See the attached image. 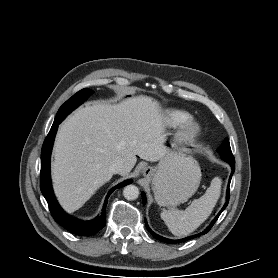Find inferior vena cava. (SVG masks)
<instances>
[{"label":"inferior vena cava","instance_id":"602c4592","mask_svg":"<svg viewBox=\"0 0 278 278\" xmlns=\"http://www.w3.org/2000/svg\"><path fill=\"white\" fill-rule=\"evenodd\" d=\"M125 168V164L122 159H115L109 166V170L113 174L121 173Z\"/></svg>","mask_w":278,"mask_h":278}]
</instances>
